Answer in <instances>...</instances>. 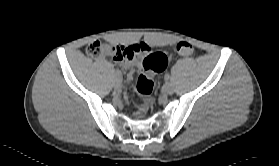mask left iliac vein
I'll return each mask as SVG.
<instances>
[{"instance_id":"4c4485c4","label":"left iliac vein","mask_w":279,"mask_h":166,"mask_svg":"<svg viewBox=\"0 0 279 166\" xmlns=\"http://www.w3.org/2000/svg\"><path fill=\"white\" fill-rule=\"evenodd\" d=\"M163 91L166 93V94H173L174 92V87L171 83L167 82L164 84L163 86Z\"/></svg>"}]
</instances>
